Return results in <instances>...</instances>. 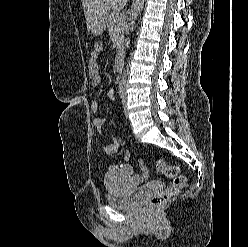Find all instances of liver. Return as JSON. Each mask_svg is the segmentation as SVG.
<instances>
[{
  "mask_svg": "<svg viewBox=\"0 0 248 247\" xmlns=\"http://www.w3.org/2000/svg\"><path fill=\"white\" fill-rule=\"evenodd\" d=\"M88 30L110 9L121 10L127 0H81Z\"/></svg>",
  "mask_w": 248,
  "mask_h": 247,
  "instance_id": "1",
  "label": "liver"
}]
</instances>
